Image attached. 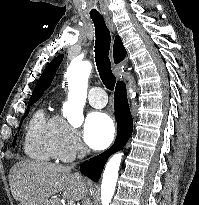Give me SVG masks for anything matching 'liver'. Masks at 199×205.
Returning a JSON list of instances; mask_svg holds the SVG:
<instances>
[{
    "label": "liver",
    "instance_id": "6515ba94",
    "mask_svg": "<svg viewBox=\"0 0 199 205\" xmlns=\"http://www.w3.org/2000/svg\"><path fill=\"white\" fill-rule=\"evenodd\" d=\"M12 195L19 205H60L55 195L63 192L68 201H81L88 193V182L67 166L24 160L9 173Z\"/></svg>",
    "mask_w": 199,
    "mask_h": 205
}]
</instances>
